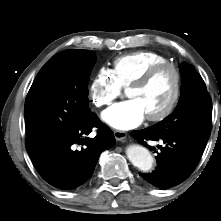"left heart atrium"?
Returning <instances> with one entry per match:
<instances>
[{
    "label": "left heart atrium",
    "instance_id": "left-heart-atrium-1",
    "mask_svg": "<svg viewBox=\"0 0 221 221\" xmlns=\"http://www.w3.org/2000/svg\"><path fill=\"white\" fill-rule=\"evenodd\" d=\"M145 117V111L137 99L117 103L102 113V119L119 130L133 129L139 126Z\"/></svg>",
    "mask_w": 221,
    "mask_h": 221
}]
</instances>
